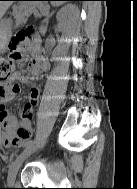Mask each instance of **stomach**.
I'll return each mask as SVG.
<instances>
[{"instance_id":"1","label":"stomach","mask_w":137,"mask_h":189,"mask_svg":"<svg viewBox=\"0 0 137 189\" xmlns=\"http://www.w3.org/2000/svg\"><path fill=\"white\" fill-rule=\"evenodd\" d=\"M33 3H35V5H38L39 2L35 1ZM10 30H11V22L8 19L0 20V42L4 43L8 40L10 36Z\"/></svg>"}]
</instances>
